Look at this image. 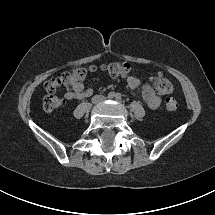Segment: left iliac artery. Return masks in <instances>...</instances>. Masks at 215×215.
I'll list each match as a JSON object with an SVG mask.
<instances>
[{"instance_id": "44dca946", "label": "left iliac artery", "mask_w": 215, "mask_h": 215, "mask_svg": "<svg viewBox=\"0 0 215 215\" xmlns=\"http://www.w3.org/2000/svg\"><path fill=\"white\" fill-rule=\"evenodd\" d=\"M115 98H116L117 101L121 100V94L117 93Z\"/></svg>"}]
</instances>
